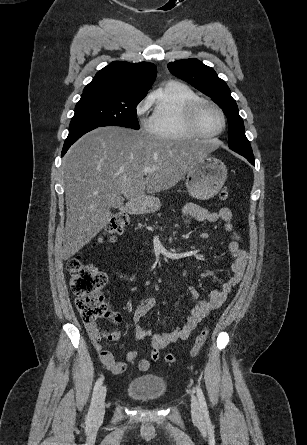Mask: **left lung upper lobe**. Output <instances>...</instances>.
Returning a JSON list of instances; mask_svg holds the SVG:
<instances>
[{
    "label": "left lung upper lobe",
    "mask_w": 307,
    "mask_h": 445,
    "mask_svg": "<svg viewBox=\"0 0 307 445\" xmlns=\"http://www.w3.org/2000/svg\"><path fill=\"white\" fill-rule=\"evenodd\" d=\"M168 69L175 76L197 88L222 108L229 123V147L235 152L252 153L250 143L245 136L244 123L238 113L231 92L216 72L197 59H184L168 64Z\"/></svg>",
    "instance_id": "left-lung-upper-lobe-1"
}]
</instances>
